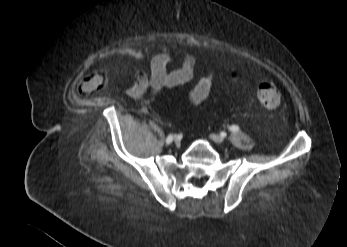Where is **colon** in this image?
I'll use <instances>...</instances> for the list:
<instances>
[{
    "mask_svg": "<svg viewBox=\"0 0 347 247\" xmlns=\"http://www.w3.org/2000/svg\"><path fill=\"white\" fill-rule=\"evenodd\" d=\"M278 80L270 74L262 75L257 80L256 98L267 108H275L280 104Z\"/></svg>",
    "mask_w": 347,
    "mask_h": 247,
    "instance_id": "1",
    "label": "colon"
}]
</instances>
